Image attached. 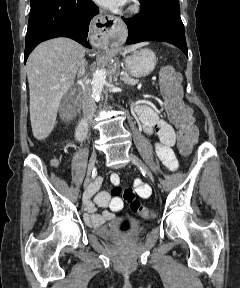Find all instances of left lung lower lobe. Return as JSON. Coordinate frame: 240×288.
Wrapping results in <instances>:
<instances>
[{
  "label": "left lung lower lobe",
  "mask_w": 240,
  "mask_h": 288,
  "mask_svg": "<svg viewBox=\"0 0 240 288\" xmlns=\"http://www.w3.org/2000/svg\"><path fill=\"white\" fill-rule=\"evenodd\" d=\"M141 12L125 19L129 35L127 44L141 41H162L180 48L188 57L184 25L178 0H139Z\"/></svg>",
  "instance_id": "1"
}]
</instances>
